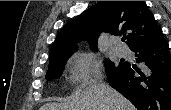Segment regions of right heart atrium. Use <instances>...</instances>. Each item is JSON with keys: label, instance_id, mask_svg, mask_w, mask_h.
<instances>
[{"label": "right heart atrium", "instance_id": "right-heart-atrium-1", "mask_svg": "<svg viewBox=\"0 0 171 110\" xmlns=\"http://www.w3.org/2000/svg\"><path fill=\"white\" fill-rule=\"evenodd\" d=\"M71 80L81 87H87L101 78L99 60L90 53H76L71 60Z\"/></svg>", "mask_w": 171, "mask_h": 110}]
</instances>
